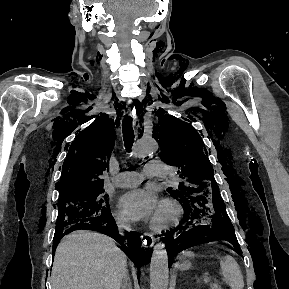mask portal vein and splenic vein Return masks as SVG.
I'll return each mask as SVG.
<instances>
[{
    "mask_svg": "<svg viewBox=\"0 0 289 289\" xmlns=\"http://www.w3.org/2000/svg\"><path fill=\"white\" fill-rule=\"evenodd\" d=\"M204 284H209L211 282V278L210 277H205L203 279Z\"/></svg>",
    "mask_w": 289,
    "mask_h": 289,
    "instance_id": "1",
    "label": "portal vein and splenic vein"
}]
</instances>
